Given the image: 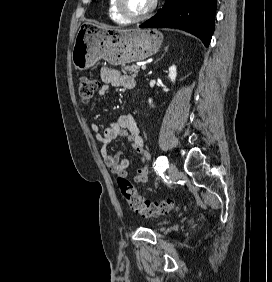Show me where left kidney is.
<instances>
[{
    "label": "left kidney",
    "instance_id": "5707ae66",
    "mask_svg": "<svg viewBox=\"0 0 272 282\" xmlns=\"http://www.w3.org/2000/svg\"><path fill=\"white\" fill-rule=\"evenodd\" d=\"M177 76V69L175 65L169 67L168 78L174 83ZM149 104L152 105V99H149Z\"/></svg>",
    "mask_w": 272,
    "mask_h": 282
}]
</instances>
